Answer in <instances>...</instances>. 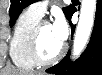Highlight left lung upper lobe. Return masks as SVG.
<instances>
[{"label": "left lung upper lobe", "instance_id": "left-lung-upper-lobe-1", "mask_svg": "<svg viewBox=\"0 0 102 75\" xmlns=\"http://www.w3.org/2000/svg\"><path fill=\"white\" fill-rule=\"evenodd\" d=\"M38 0H11L10 6V26L12 27L17 20L18 16L22 12V10L28 5L36 2ZM73 6L69 5L68 7L63 8V12L65 13L66 18L70 16L73 11Z\"/></svg>", "mask_w": 102, "mask_h": 75}]
</instances>
